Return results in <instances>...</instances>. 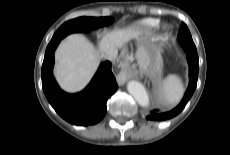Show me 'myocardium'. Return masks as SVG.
I'll use <instances>...</instances> for the list:
<instances>
[{
  "instance_id": "1",
  "label": "myocardium",
  "mask_w": 230,
  "mask_h": 155,
  "mask_svg": "<svg viewBox=\"0 0 230 155\" xmlns=\"http://www.w3.org/2000/svg\"><path fill=\"white\" fill-rule=\"evenodd\" d=\"M160 30L166 31L169 28V25L167 23H161L159 25Z\"/></svg>"
}]
</instances>
